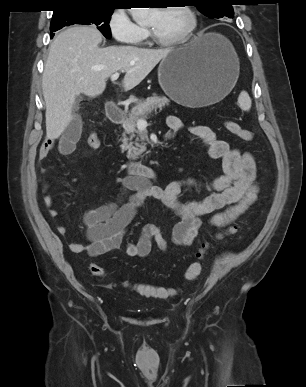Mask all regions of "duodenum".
<instances>
[{
	"mask_svg": "<svg viewBox=\"0 0 306 387\" xmlns=\"http://www.w3.org/2000/svg\"><path fill=\"white\" fill-rule=\"evenodd\" d=\"M106 114L112 123L119 124L123 120V111L113 103L107 105ZM128 170L135 176L144 178H153L155 171L142 163L131 162L128 164Z\"/></svg>",
	"mask_w": 306,
	"mask_h": 387,
	"instance_id": "obj_1",
	"label": "duodenum"
}]
</instances>
